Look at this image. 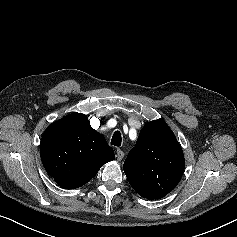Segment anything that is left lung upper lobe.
Here are the masks:
<instances>
[{
	"label": "left lung upper lobe",
	"mask_w": 237,
	"mask_h": 237,
	"mask_svg": "<svg viewBox=\"0 0 237 237\" xmlns=\"http://www.w3.org/2000/svg\"><path fill=\"white\" fill-rule=\"evenodd\" d=\"M184 154L174 133L162 119L148 122L124 162L132 188L149 200L160 199L179 183Z\"/></svg>",
	"instance_id": "left-lung-upper-lobe-1"
}]
</instances>
